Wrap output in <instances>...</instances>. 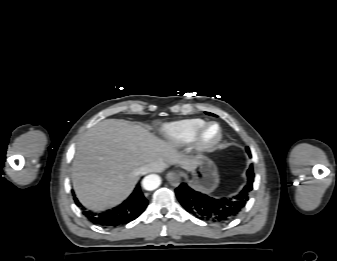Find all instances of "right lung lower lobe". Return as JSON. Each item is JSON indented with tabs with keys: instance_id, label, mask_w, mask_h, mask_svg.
<instances>
[{
	"instance_id": "right-lung-lower-lobe-1",
	"label": "right lung lower lobe",
	"mask_w": 337,
	"mask_h": 261,
	"mask_svg": "<svg viewBox=\"0 0 337 261\" xmlns=\"http://www.w3.org/2000/svg\"><path fill=\"white\" fill-rule=\"evenodd\" d=\"M74 199L76 204L82 208L83 214L91 222L104 227H117L127 224L139 217L148 205V201L144 197L139 184H137L130 197L118 207L98 214L86 211L78 200Z\"/></svg>"
}]
</instances>
